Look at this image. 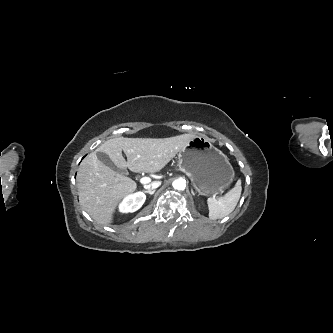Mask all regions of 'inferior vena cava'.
Segmentation results:
<instances>
[{
    "label": "inferior vena cava",
    "mask_w": 333,
    "mask_h": 333,
    "mask_svg": "<svg viewBox=\"0 0 333 333\" xmlns=\"http://www.w3.org/2000/svg\"><path fill=\"white\" fill-rule=\"evenodd\" d=\"M161 185L160 181H154L149 185H144V188L146 190H155L156 188H158Z\"/></svg>",
    "instance_id": "obj_1"
}]
</instances>
